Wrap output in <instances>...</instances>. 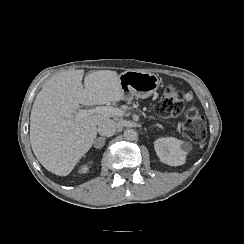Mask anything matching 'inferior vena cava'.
Masks as SVG:
<instances>
[{"label": "inferior vena cava", "instance_id": "obj_1", "mask_svg": "<svg viewBox=\"0 0 244 244\" xmlns=\"http://www.w3.org/2000/svg\"><path fill=\"white\" fill-rule=\"evenodd\" d=\"M117 123L114 120L106 119L98 125V132L101 136H112L117 131Z\"/></svg>", "mask_w": 244, "mask_h": 244}]
</instances>
